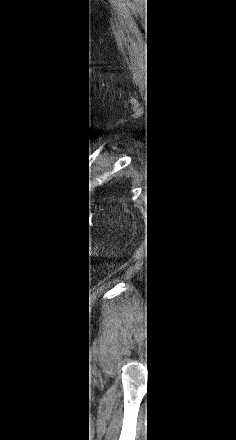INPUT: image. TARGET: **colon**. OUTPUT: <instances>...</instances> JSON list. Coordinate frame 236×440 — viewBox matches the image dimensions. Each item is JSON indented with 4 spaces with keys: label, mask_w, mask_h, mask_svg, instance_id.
I'll use <instances>...</instances> for the list:
<instances>
[{
    "label": "colon",
    "mask_w": 236,
    "mask_h": 440,
    "mask_svg": "<svg viewBox=\"0 0 236 440\" xmlns=\"http://www.w3.org/2000/svg\"><path fill=\"white\" fill-rule=\"evenodd\" d=\"M81 209H82V213L83 214H88L89 213V208H88V206L86 204H83L81 206Z\"/></svg>",
    "instance_id": "obj_1"
}]
</instances>
